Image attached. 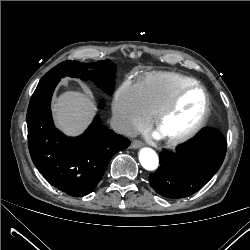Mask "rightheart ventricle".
Here are the masks:
<instances>
[{
	"label": "right heart ventricle",
	"instance_id": "obj_1",
	"mask_svg": "<svg viewBox=\"0 0 250 250\" xmlns=\"http://www.w3.org/2000/svg\"><path fill=\"white\" fill-rule=\"evenodd\" d=\"M191 83L195 82L188 76L174 72H159L140 78L135 87L152 119L179 88Z\"/></svg>",
	"mask_w": 250,
	"mask_h": 250
}]
</instances>
